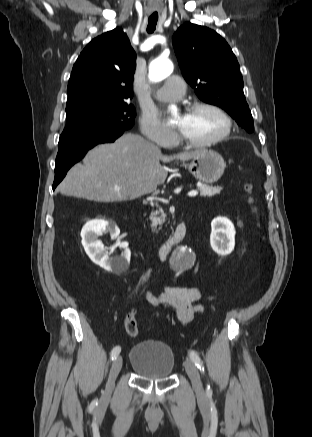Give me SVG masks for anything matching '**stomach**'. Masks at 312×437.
I'll use <instances>...</instances> for the list:
<instances>
[{
	"instance_id": "0dacf381",
	"label": "stomach",
	"mask_w": 312,
	"mask_h": 437,
	"mask_svg": "<svg viewBox=\"0 0 312 437\" xmlns=\"http://www.w3.org/2000/svg\"><path fill=\"white\" fill-rule=\"evenodd\" d=\"M199 181L214 183L224 173L225 163L222 156L213 150L202 149L192 158L190 163L183 165Z\"/></svg>"
}]
</instances>
